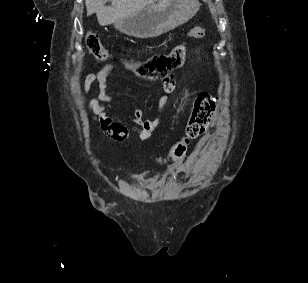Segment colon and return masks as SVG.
<instances>
[{"label":"colon","mask_w":308,"mask_h":283,"mask_svg":"<svg viewBox=\"0 0 308 283\" xmlns=\"http://www.w3.org/2000/svg\"><path fill=\"white\" fill-rule=\"evenodd\" d=\"M206 34L204 27H194L187 33L189 38L200 39ZM85 44L93 55L99 60H107L111 54L102 45L99 36L94 32H87ZM186 47L184 43L178 44L168 53L157 54L145 61H125L124 65L138 77L148 80H162L165 85L173 86L172 72L179 68L185 59ZM215 110V98L209 92L200 93L193 103V107L185 125L182 136L172 145L168 155L160 159L169 165H176L184 157L191 141L200 137L206 130Z\"/></svg>","instance_id":"obj_1"}]
</instances>
